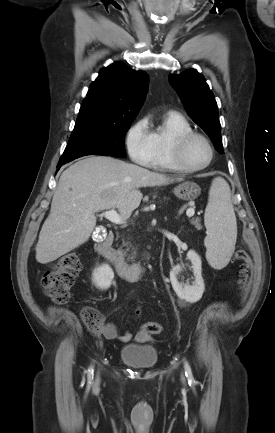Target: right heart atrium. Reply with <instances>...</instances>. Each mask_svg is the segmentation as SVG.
<instances>
[{"label":"right heart atrium","mask_w":275,"mask_h":433,"mask_svg":"<svg viewBox=\"0 0 275 433\" xmlns=\"http://www.w3.org/2000/svg\"><path fill=\"white\" fill-rule=\"evenodd\" d=\"M125 145L133 162L142 166H148L152 155V144L146 117L138 119L127 130Z\"/></svg>","instance_id":"1"}]
</instances>
